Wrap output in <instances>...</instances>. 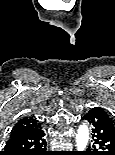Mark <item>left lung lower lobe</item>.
<instances>
[{
    "label": "left lung lower lobe",
    "mask_w": 115,
    "mask_h": 155,
    "mask_svg": "<svg viewBox=\"0 0 115 155\" xmlns=\"http://www.w3.org/2000/svg\"><path fill=\"white\" fill-rule=\"evenodd\" d=\"M92 127V145L80 155H115V124L105 110L94 107L82 117ZM98 149L105 150L98 152Z\"/></svg>",
    "instance_id": "left-lung-lower-lobe-1"
}]
</instances>
